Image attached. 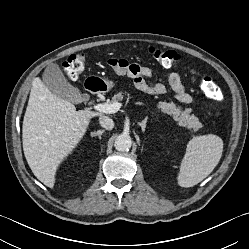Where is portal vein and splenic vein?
I'll list each match as a JSON object with an SVG mask.
<instances>
[{"label":"portal vein and splenic vein","instance_id":"portal-vein-and-splenic-vein-1","mask_svg":"<svg viewBox=\"0 0 249 249\" xmlns=\"http://www.w3.org/2000/svg\"><path fill=\"white\" fill-rule=\"evenodd\" d=\"M136 104L142 105L143 103L137 102ZM121 106H122V103H119V102H115L112 104L105 103V104L94 105V109L99 112L112 114V113H116L121 108Z\"/></svg>","mask_w":249,"mask_h":249}]
</instances>
